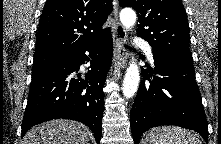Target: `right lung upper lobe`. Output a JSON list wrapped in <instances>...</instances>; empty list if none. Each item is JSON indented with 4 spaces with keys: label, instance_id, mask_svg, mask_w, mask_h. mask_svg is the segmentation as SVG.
I'll return each mask as SVG.
<instances>
[{
    "label": "right lung upper lobe",
    "instance_id": "right-lung-upper-lobe-1",
    "mask_svg": "<svg viewBox=\"0 0 221 144\" xmlns=\"http://www.w3.org/2000/svg\"><path fill=\"white\" fill-rule=\"evenodd\" d=\"M112 0H47L36 36L35 54L65 55L110 31L102 29Z\"/></svg>",
    "mask_w": 221,
    "mask_h": 144
}]
</instances>
